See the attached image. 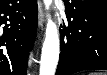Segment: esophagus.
<instances>
[{"mask_svg": "<svg viewBox=\"0 0 107 75\" xmlns=\"http://www.w3.org/2000/svg\"><path fill=\"white\" fill-rule=\"evenodd\" d=\"M38 14H39V26L40 28H42L45 22V12L41 2H39L38 5Z\"/></svg>", "mask_w": 107, "mask_h": 75, "instance_id": "esophagus-1", "label": "esophagus"}]
</instances>
